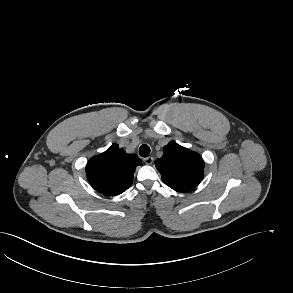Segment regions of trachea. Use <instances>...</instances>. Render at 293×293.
<instances>
[{
  "mask_svg": "<svg viewBox=\"0 0 293 293\" xmlns=\"http://www.w3.org/2000/svg\"><path fill=\"white\" fill-rule=\"evenodd\" d=\"M139 154L142 157H147L150 154V148L148 145L143 144L139 148Z\"/></svg>",
  "mask_w": 293,
  "mask_h": 293,
  "instance_id": "obj_1",
  "label": "trachea"
}]
</instances>
